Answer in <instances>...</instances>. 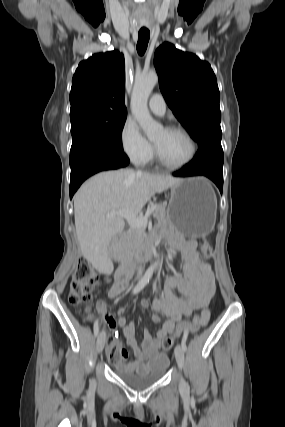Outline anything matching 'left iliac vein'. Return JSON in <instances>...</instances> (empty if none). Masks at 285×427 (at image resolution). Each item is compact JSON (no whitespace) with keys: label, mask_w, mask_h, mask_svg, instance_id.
<instances>
[{"label":"left iliac vein","mask_w":285,"mask_h":427,"mask_svg":"<svg viewBox=\"0 0 285 427\" xmlns=\"http://www.w3.org/2000/svg\"><path fill=\"white\" fill-rule=\"evenodd\" d=\"M175 358H176V361H177L179 368L182 369V367L184 365L185 356H184V350L182 349V347L180 345H177L175 348ZM180 385L182 386V388L187 387V384L183 378L180 379Z\"/></svg>","instance_id":"obj_1"}]
</instances>
